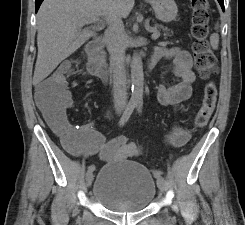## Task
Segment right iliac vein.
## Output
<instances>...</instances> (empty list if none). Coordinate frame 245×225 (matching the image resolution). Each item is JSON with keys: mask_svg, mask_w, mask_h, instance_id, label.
I'll list each match as a JSON object with an SVG mask.
<instances>
[{"mask_svg": "<svg viewBox=\"0 0 245 225\" xmlns=\"http://www.w3.org/2000/svg\"><path fill=\"white\" fill-rule=\"evenodd\" d=\"M93 173L92 171H88L86 174V185L87 187L91 186L92 182H93Z\"/></svg>", "mask_w": 245, "mask_h": 225, "instance_id": "obj_1", "label": "right iliac vein"}]
</instances>
